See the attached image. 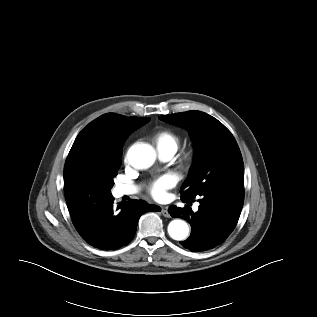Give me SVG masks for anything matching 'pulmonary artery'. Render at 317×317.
<instances>
[{
    "label": "pulmonary artery",
    "instance_id": "1",
    "mask_svg": "<svg viewBox=\"0 0 317 317\" xmlns=\"http://www.w3.org/2000/svg\"><path fill=\"white\" fill-rule=\"evenodd\" d=\"M160 157L164 160H169L172 158L174 153L171 152H159ZM138 191L136 186L131 185H118L115 189L116 195L118 197L125 196V195H132Z\"/></svg>",
    "mask_w": 317,
    "mask_h": 317
}]
</instances>
